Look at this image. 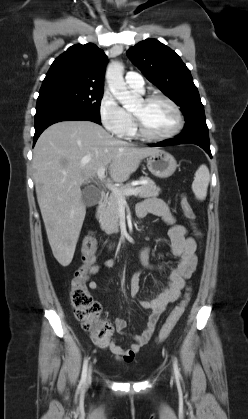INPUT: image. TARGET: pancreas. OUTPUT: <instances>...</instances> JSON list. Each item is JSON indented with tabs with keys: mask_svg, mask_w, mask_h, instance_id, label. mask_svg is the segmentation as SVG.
<instances>
[{
	"mask_svg": "<svg viewBox=\"0 0 248 419\" xmlns=\"http://www.w3.org/2000/svg\"><path fill=\"white\" fill-rule=\"evenodd\" d=\"M140 180L146 181V184H143L138 189V196L141 198L158 196L160 188L156 186L155 182L149 177H140ZM120 191H125L128 189H135L132 183H127L123 186L118 187ZM123 200H125L126 195H122ZM120 199L113 192L106 200V205L102 208L99 214V222L101 229L105 231L106 234H113L119 232V207Z\"/></svg>",
	"mask_w": 248,
	"mask_h": 419,
	"instance_id": "pancreas-1",
	"label": "pancreas"
}]
</instances>
